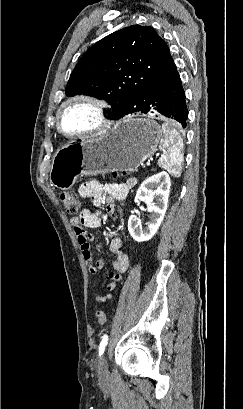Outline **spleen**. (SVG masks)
<instances>
[{"mask_svg": "<svg viewBox=\"0 0 243 409\" xmlns=\"http://www.w3.org/2000/svg\"><path fill=\"white\" fill-rule=\"evenodd\" d=\"M163 138L160 141L159 148L163 151L158 160V165L167 170L172 176L179 177L182 172L183 157V139L179 132L169 123L162 124Z\"/></svg>", "mask_w": 243, "mask_h": 409, "instance_id": "spleen-1", "label": "spleen"}]
</instances>
